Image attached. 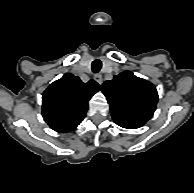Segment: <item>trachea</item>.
I'll use <instances>...</instances> for the list:
<instances>
[{"mask_svg": "<svg viewBox=\"0 0 194 193\" xmlns=\"http://www.w3.org/2000/svg\"><path fill=\"white\" fill-rule=\"evenodd\" d=\"M102 67V62L96 59L92 62L91 69L93 73H98Z\"/></svg>", "mask_w": 194, "mask_h": 193, "instance_id": "3493384b", "label": "trachea"}]
</instances>
